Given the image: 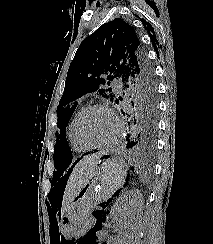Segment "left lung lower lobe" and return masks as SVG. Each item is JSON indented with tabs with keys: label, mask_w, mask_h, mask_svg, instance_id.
<instances>
[{
	"label": "left lung lower lobe",
	"mask_w": 213,
	"mask_h": 244,
	"mask_svg": "<svg viewBox=\"0 0 213 244\" xmlns=\"http://www.w3.org/2000/svg\"><path fill=\"white\" fill-rule=\"evenodd\" d=\"M124 115L129 119V128L125 136L126 148L142 157L152 156L156 148L157 118L155 120L149 116L135 117L127 111Z\"/></svg>",
	"instance_id": "left-lung-lower-lobe-1"
}]
</instances>
